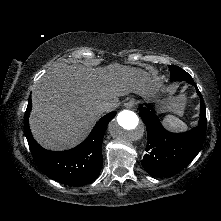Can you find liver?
I'll list each match as a JSON object with an SVG mask.
<instances>
[{"label":"liver","mask_w":221,"mask_h":221,"mask_svg":"<svg viewBox=\"0 0 221 221\" xmlns=\"http://www.w3.org/2000/svg\"><path fill=\"white\" fill-rule=\"evenodd\" d=\"M155 91L154 80L139 68L118 63L99 68L57 63L35 84L30 128L44 148H71L100 118V105L108 103L113 109L119 97L135 93L148 99ZM164 105L167 111L183 113L179 99H168Z\"/></svg>","instance_id":"liver-1"}]
</instances>
